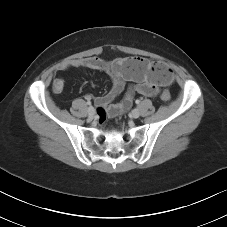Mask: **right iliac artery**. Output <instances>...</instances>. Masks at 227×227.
Returning <instances> with one entry per match:
<instances>
[{
    "mask_svg": "<svg viewBox=\"0 0 227 227\" xmlns=\"http://www.w3.org/2000/svg\"><path fill=\"white\" fill-rule=\"evenodd\" d=\"M87 104H88V105H91V102H90V101H88V102H87ZM90 107H92V106H90ZM90 107H89V108H90Z\"/></svg>",
    "mask_w": 227,
    "mask_h": 227,
    "instance_id": "right-iliac-artery-1",
    "label": "right iliac artery"
}]
</instances>
